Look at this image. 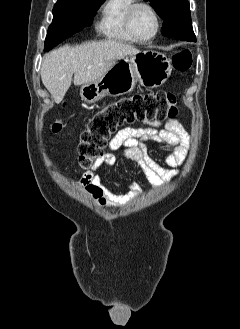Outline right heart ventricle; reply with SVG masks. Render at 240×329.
Wrapping results in <instances>:
<instances>
[{"label": "right heart ventricle", "instance_id": "e07e8e85", "mask_svg": "<svg viewBox=\"0 0 240 329\" xmlns=\"http://www.w3.org/2000/svg\"><path fill=\"white\" fill-rule=\"evenodd\" d=\"M136 0H107L102 9L97 29L108 39L117 42L135 41L126 31L125 18Z\"/></svg>", "mask_w": 240, "mask_h": 329}]
</instances>
